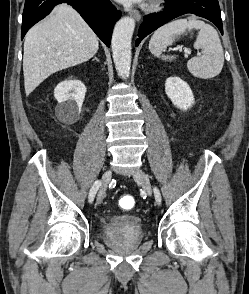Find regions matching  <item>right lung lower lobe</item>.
<instances>
[{"label":"right lung lower lobe","instance_id":"98d812e1","mask_svg":"<svg viewBox=\"0 0 249 294\" xmlns=\"http://www.w3.org/2000/svg\"><path fill=\"white\" fill-rule=\"evenodd\" d=\"M60 3H67L77 10L97 36L109 47L115 22L121 17L109 0H26L21 39L38 21Z\"/></svg>","mask_w":249,"mask_h":294}]
</instances>
